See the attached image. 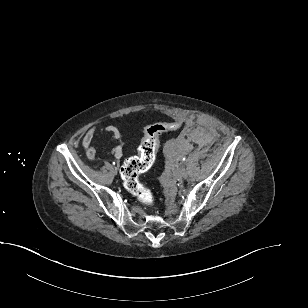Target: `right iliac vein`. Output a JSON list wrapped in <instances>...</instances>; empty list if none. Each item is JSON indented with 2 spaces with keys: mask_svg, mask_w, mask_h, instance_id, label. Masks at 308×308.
I'll return each mask as SVG.
<instances>
[{
  "mask_svg": "<svg viewBox=\"0 0 308 308\" xmlns=\"http://www.w3.org/2000/svg\"><path fill=\"white\" fill-rule=\"evenodd\" d=\"M113 170H114V172H115V173H117L118 168H117V167H114V169H113Z\"/></svg>",
  "mask_w": 308,
  "mask_h": 308,
  "instance_id": "right-iliac-vein-1",
  "label": "right iliac vein"
}]
</instances>
